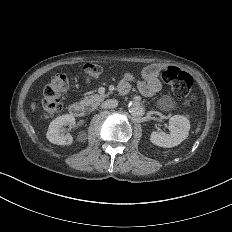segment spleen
Instances as JSON below:
<instances>
[{"label":"spleen","mask_w":232,"mask_h":232,"mask_svg":"<svg viewBox=\"0 0 232 232\" xmlns=\"http://www.w3.org/2000/svg\"><path fill=\"white\" fill-rule=\"evenodd\" d=\"M199 130H200V128L198 127V128L196 129V132H199Z\"/></svg>","instance_id":"obj_1"}]
</instances>
